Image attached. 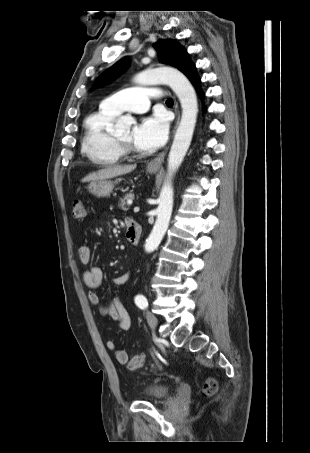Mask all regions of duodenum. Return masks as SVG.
I'll list each match as a JSON object with an SVG mask.
<instances>
[{"mask_svg":"<svg viewBox=\"0 0 310 453\" xmlns=\"http://www.w3.org/2000/svg\"><path fill=\"white\" fill-rule=\"evenodd\" d=\"M126 236L128 242L137 245L141 238V227L136 221H129L126 225Z\"/></svg>","mask_w":310,"mask_h":453,"instance_id":"duodenum-1","label":"duodenum"}]
</instances>
